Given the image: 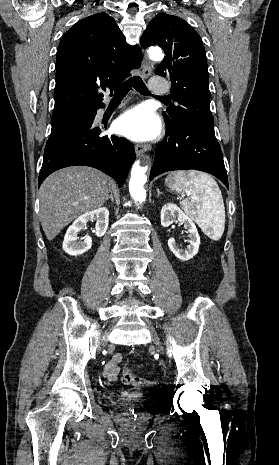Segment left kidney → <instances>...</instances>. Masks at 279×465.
Returning a JSON list of instances; mask_svg holds the SVG:
<instances>
[{
    "mask_svg": "<svg viewBox=\"0 0 279 465\" xmlns=\"http://www.w3.org/2000/svg\"><path fill=\"white\" fill-rule=\"evenodd\" d=\"M160 217L163 227H168L174 220H177L179 224H183L184 228L188 230L190 240L187 249H180L176 245L174 238H169L168 246L173 254L181 261L192 259L198 253L200 245V236L192 219L173 203L166 204L162 207Z\"/></svg>",
    "mask_w": 279,
    "mask_h": 465,
    "instance_id": "1",
    "label": "left kidney"
}]
</instances>
